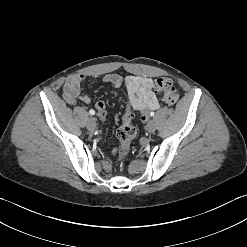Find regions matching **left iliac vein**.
<instances>
[{
	"label": "left iliac vein",
	"instance_id": "4c4485c4",
	"mask_svg": "<svg viewBox=\"0 0 247 247\" xmlns=\"http://www.w3.org/2000/svg\"><path fill=\"white\" fill-rule=\"evenodd\" d=\"M146 129L149 133H153L156 129V124L154 122V120H149L147 125H146Z\"/></svg>",
	"mask_w": 247,
	"mask_h": 247
}]
</instances>
